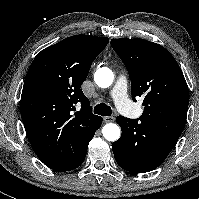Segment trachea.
Segmentation results:
<instances>
[{
	"label": "trachea",
	"mask_w": 199,
	"mask_h": 199,
	"mask_svg": "<svg viewBox=\"0 0 199 199\" xmlns=\"http://www.w3.org/2000/svg\"><path fill=\"white\" fill-rule=\"evenodd\" d=\"M94 113L101 115V116H111L112 110H111L110 106H108L107 104L100 103L95 106Z\"/></svg>",
	"instance_id": "3493384b"
}]
</instances>
